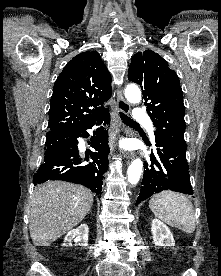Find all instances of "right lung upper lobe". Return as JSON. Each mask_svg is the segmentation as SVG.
Returning a JSON list of instances; mask_svg holds the SVG:
<instances>
[{
	"label": "right lung upper lobe",
	"instance_id": "1",
	"mask_svg": "<svg viewBox=\"0 0 221 276\" xmlns=\"http://www.w3.org/2000/svg\"><path fill=\"white\" fill-rule=\"evenodd\" d=\"M110 97L111 76L100 54L75 56L54 84L46 136H74L108 110L103 103Z\"/></svg>",
	"mask_w": 221,
	"mask_h": 276
}]
</instances>
